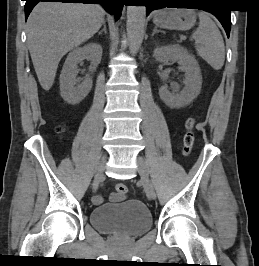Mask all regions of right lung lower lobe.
Returning a JSON list of instances; mask_svg holds the SVG:
<instances>
[{
    "label": "right lung lower lobe",
    "instance_id": "98d812e1",
    "mask_svg": "<svg viewBox=\"0 0 259 266\" xmlns=\"http://www.w3.org/2000/svg\"><path fill=\"white\" fill-rule=\"evenodd\" d=\"M25 18L29 16L33 7L40 1L42 2H62V3H84V4H101L107 12L115 15L116 20L121 15L123 5L126 0H25Z\"/></svg>",
    "mask_w": 259,
    "mask_h": 266
}]
</instances>
